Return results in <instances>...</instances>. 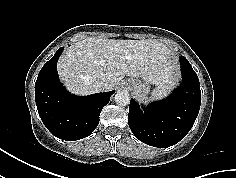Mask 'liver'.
Segmentation results:
<instances>
[{
    "mask_svg": "<svg viewBox=\"0 0 236 178\" xmlns=\"http://www.w3.org/2000/svg\"><path fill=\"white\" fill-rule=\"evenodd\" d=\"M57 70L68 90L77 95L99 92L95 82L107 80L113 89L126 76L155 85L170 84L177 76L171 51L155 40H113L89 37L71 45Z\"/></svg>",
    "mask_w": 236,
    "mask_h": 178,
    "instance_id": "1",
    "label": "liver"
}]
</instances>
